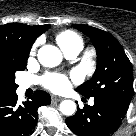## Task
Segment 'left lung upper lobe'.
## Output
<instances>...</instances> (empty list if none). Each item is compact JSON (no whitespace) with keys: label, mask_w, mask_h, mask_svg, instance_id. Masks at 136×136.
<instances>
[{"label":"left lung upper lobe","mask_w":136,"mask_h":136,"mask_svg":"<svg viewBox=\"0 0 136 136\" xmlns=\"http://www.w3.org/2000/svg\"><path fill=\"white\" fill-rule=\"evenodd\" d=\"M74 27L91 38L97 51V68L91 80L79 86L83 96L119 98L130 101L133 95L131 63L120 43L109 33L87 25Z\"/></svg>","instance_id":"obj_1"}]
</instances>
